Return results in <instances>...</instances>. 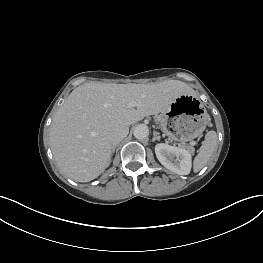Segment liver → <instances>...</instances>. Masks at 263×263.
<instances>
[{
	"label": "liver",
	"mask_w": 263,
	"mask_h": 263,
	"mask_svg": "<svg viewBox=\"0 0 263 263\" xmlns=\"http://www.w3.org/2000/svg\"><path fill=\"white\" fill-rule=\"evenodd\" d=\"M192 88L178 80L151 84L88 82L75 88L57 110L50 130L53 156L77 182L97 178L110 164L116 127L165 111ZM135 102V107L129 103Z\"/></svg>",
	"instance_id": "6515ba94"
}]
</instances>
